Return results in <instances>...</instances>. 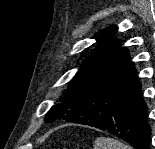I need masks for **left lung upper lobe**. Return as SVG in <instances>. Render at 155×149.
<instances>
[{"mask_svg":"<svg viewBox=\"0 0 155 149\" xmlns=\"http://www.w3.org/2000/svg\"><path fill=\"white\" fill-rule=\"evenodd\" d=\"M116 30V26L107 28L94 37L100 41L98 47L86 59L74 80L70 82L68 90L64 92L65 96L48 111L44 119L46 123L53 122L57 118L66 119L81 94L113 65L120 51V43L112 39Z\"/></svg>","mask_w":155,"mask_h":149,"instance_id":"5c2ea615","label":"left lung upper lobe"}]
</instances>
